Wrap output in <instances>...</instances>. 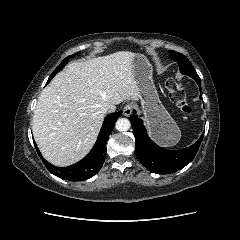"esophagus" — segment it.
<instances>
[{"label": "esophagus", "instance_id": "1", "mask_svg": "<svg viewBox=\"0 0 240 240\" xmlns=\"http://www.w3.org/2000/svg\"><path fill=\"white\" fill-rule=\"evenodd\" d=\"M134 106L132 104H127L123 109V115L128 117L132 114Z\"/></svg>", "mask_w": 240, "mask_h": 240}]
</instances>
